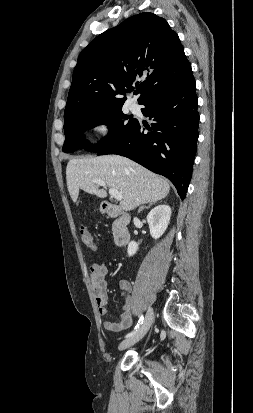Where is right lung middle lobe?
I'll use <instances>...</instances> for the list:
<instances>
[{"label":"right lung middle lobe","mask_w":253,"mask_h":413,"mask_svg":"<svg viewBox=\"0 0 253 413\" xmlns=\"http://www.w3.org/2000/svg\"><path fill=\"white\" fill-rule=\"evenodd\" d=\"M127 119L129 117L122 112V107L76 115L64 123L65 142L62 150L71 153L79 149H85L97 153L119 139L136 123L135 119L126 122ZM98 124H106L109 133L96 145H90L85 140L83 132Z\"/></svg>","instance_id":"obj_1"}]
</instances>
